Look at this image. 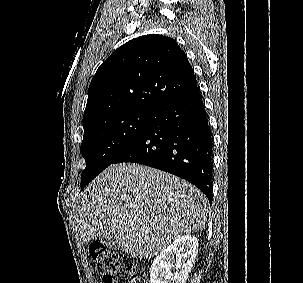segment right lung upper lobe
I'll return each mask as SVG.
<instances>
[{
  "label": "right lung upper lobe",
  "instance_id": "1",
  "mask_svg": "<svg viewBox=\"0 0 303 283\" xmlns=\"http://www.w3.org/2000/svg\"><path fill=\"white\" fill-rule=\"evenodd\" d=\"M195 87L194 71L174 39L157 34L134 38L97 69L88 90L84 130L122 112L156 113Z\"/></svg>",
  "mask_w": 303,
  "mask_h": 283
}]
</instances>
